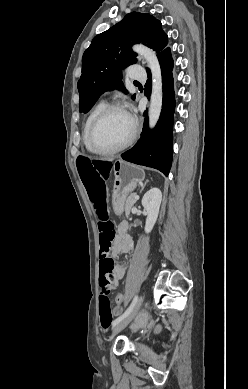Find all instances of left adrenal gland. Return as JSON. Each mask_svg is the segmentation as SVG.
<instances>
[{
	"instance_id": "left-adrenal-gland-1",
	"label": "left adrenal gland",
	"mask_w": 248,
	"mask_h": 389,
	"mask_svg": "<svg viewBox=\"0 0 248 389\" xmlns=\"http://www.w3.org/2000/svg\"><path fill=\"white\" fill-rule=\"evenodd\" d=\"M148 183V180L142 185V189H144L145 185Z\"/></svg>"
}]
</instances>
